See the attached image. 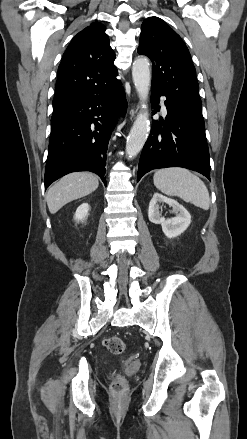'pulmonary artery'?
I'll list each match as a JSON object with an SVG mask.
<instances>
[{
  "instance_id": "pulmonary-artery-1",
  "label": "pulmonary artery",
  "mask_w": 247,
  "mask_h": 439,
  "mask_svg": "<svg viewBox=\"0 0 247 439\" xmlns=\"http://www.w3.org/2000/svg\"><path fill=\"white\" fill-rule=\"evenodd\" d=\"M161 107H162V111H163V113H167V109H166V106H165L164 101H162V103H161Z\"/></svg>"
}]
</instances>
